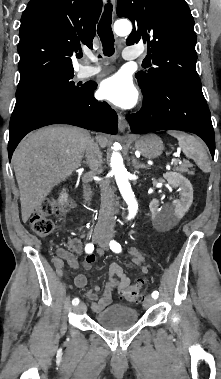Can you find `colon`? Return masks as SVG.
I'll use <instances>...</instances> for the list:
<instances>
[{
	"instance_id": "5ec220e1",
	"label": "colon",
	"mask_w": 221,
	"mask_h": 379,
	"mask_svg": "<svg viewBox=\"0 0 221 379\" xmlns=\"http://www.w3.org/2000/svg\"><path fill=\"white\" fill-rule=\"evenodd\" d=\"M68 208V204L57 200H46L42 202L33 212L29 224L32 231L40 236H49L54 228L51 217L59 216ZM123 296L130 302H141L144 299V290L139 283L128 286Z\"/></svg>"
}]
</instances>
